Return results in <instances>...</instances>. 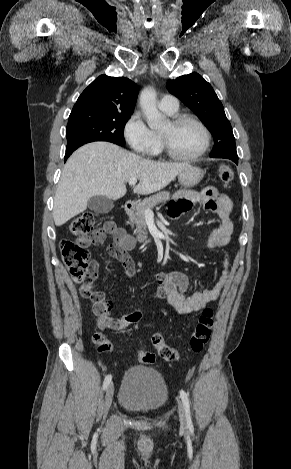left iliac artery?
<instances>
[{
    "mask_svg": "<svg viewBox=\"0 0 291 469\" xmlns=\"http://www.w3.org/2000/svg\"><path fill=\"white\" fill-rule=\"evenodd\" d=\"M180 396L183 402V406L185 408V414H186V420H187V426L189 428L192 427V420H191V413H190V403L188 399V395L184 390L180 391Z\"/></svg>",
    "mask_w": 291,
    "mask_h": 469,
    "instance_id": "44dca946",
    "label": "left iliac artery"
}]
</instances>
